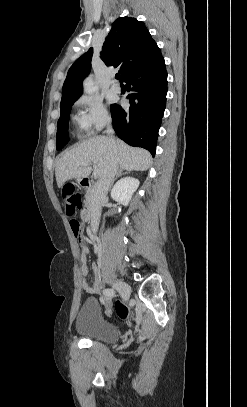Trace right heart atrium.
<instances>
[{"instance_id": "d8ad5b80", "label": "right heart atrium", "mask_w": 247, "mask_h": 407, "mask_svg": "<svg viewBox=\"0 0 247 407\" xmlns=\"http://www.w3.org/2000/svg\"><path fill=\"white\" fill-rule=\"evenodd\" d=\"M75 106V121L84 135H93L110 122L106 106L95 96H82L76 101Z\"/></svg>"}]
</instances>
